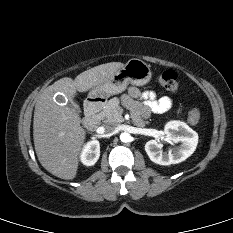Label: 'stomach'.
Returning a JSON list of instances; mask_svg holds the SVG:
<instances>
[{
    "mask_svg": "<svg viewBox=\"0 0 233 233\" xmlns=\"http://www.w3.org/2000/svg\"><path fill=\"white\" fill-rule=\"evenodd\" d=\"M151 77L150 66L140 59L132 58L117 70L110 80L94 87L89 93V98H108L123 92L128 84L143 86Z\"/></svg>",
    "mask_w": 233,
    "mask_h": 233,
    "instance_id": "obj_1",
    "label": "stomach"
}]
</instances>
